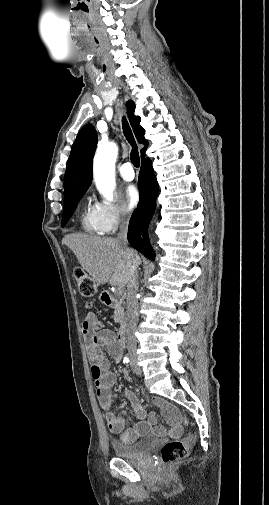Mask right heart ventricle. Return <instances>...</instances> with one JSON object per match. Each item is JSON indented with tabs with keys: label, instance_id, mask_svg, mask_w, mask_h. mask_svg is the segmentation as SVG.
<instances>
[{
	"label": "right heart ventricle",
	"instance_id": "right-heart-ventricle-1",
	"mask_svg": "<svg viewBox=\"0 0 269 505\" xmlns=\"http://www.w3.org/2000/svg\"><path fill=\"white\" fill-rule=\"evenodd\" d=\"M80 224L84 231L91 234L104 233L98 221V213L96 204L86 201L83 205Z\"/></svg>",
	"mask_w": 269,
	"mask_h": 505
}]
</instances>
